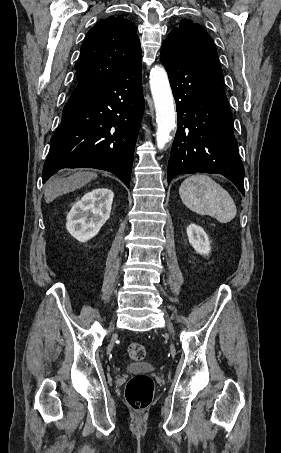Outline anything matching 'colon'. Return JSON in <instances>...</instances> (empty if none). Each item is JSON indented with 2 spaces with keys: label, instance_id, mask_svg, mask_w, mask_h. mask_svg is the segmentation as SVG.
Masks as SVG:
<instances>
[{
  "label": "colon",
  "instance_id": "colon-1",
  "mask_svg": "<svg viewBox=\"0 0 281 453\" xmlns=\"http://www.w3.org/2000/svg\"><path fill=\"white\" fill-rule=\"evenodd\" d=\"M146 349L134 344L128 350L129 359L134 363L145 360ZM153 396V381L147 374H134L125 387V400L130 410L141 413L149 409Z\"/></svg>",
  "mask_w": 281,
  "mask_h": 453
}]
</instances>
